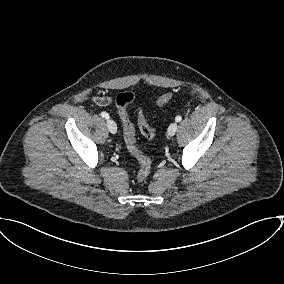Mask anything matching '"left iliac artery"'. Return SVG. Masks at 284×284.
I'll list each match as a JSON object with an SVG mask.
<instances>
[{"mask_svg": "<svg viewBox=\"0 0 284 284\" xmlns=\"http://www.w3.org/2000/svg\"><path fill=\"white\" fill-rule=\"evenodd\" d=\"M181 119H182V117H181V116H176L175 121H176V122H180V121H181Z\"/></svg>", "mask_w": 284, "mask_h": 284, "instance_id": "left-iliac-artery-1", "label": "left iliac artery"}]
</instances>
